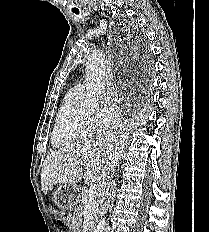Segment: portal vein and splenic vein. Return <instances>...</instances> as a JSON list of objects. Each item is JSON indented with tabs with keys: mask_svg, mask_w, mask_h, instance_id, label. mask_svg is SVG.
I'll list each match as a JSON object with an SVG mask.
<instances>
[{
	"mask_svg": "<svg viewBox=\"0 0 209 232\" xmlns=\"http://www.w3.org/2000/svg\"><path fill=\"white\" fill-rule=\"evenodd\" d=\"M76 164H81V165H84V163L82 161H76L75 162ZM97 190V185L94 183V184H91L90 187H89V190H88V196L90 198L94 197V195L96 194V191Z\"/></svg>",
	"mask_w": 209,
	"mask_h": 232,
	"instance_id": "obj_1",
	"label": "portal vein and splenic vein"
}]
</instances>
